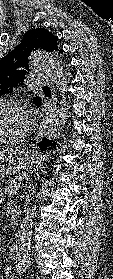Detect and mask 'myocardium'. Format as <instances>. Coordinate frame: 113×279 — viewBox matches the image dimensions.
I'll list each match as a JSON object with an SVG mask.
<instances>
[{
  "label": "myocardium",
  "instance_id": "1",
  "mask_svg": "<svg viewBox=\"0 0 113 279\" xmlns=\"http://www.w3.org/2000/svg\"><path fill=\"white\" fill-rule=\"evenodd\" d=\"M1 104H11L18 107L23 108L26 111V104L24 101L15 99V98H0V105ZM30 128L29 126L26 127L25 131L15 137H0V144H9V143H17L24 140L29 134Z\"/></svg>",
  "mask_w": 113,
  "mask_h": 279
}]
</instances>
